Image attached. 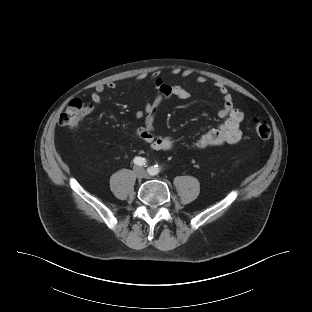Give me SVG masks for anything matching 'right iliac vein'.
Returning a JSON list of instances; mask_svg holds the SVG:
<instances>
[{
	"instance_id": "1",
	"label": "right iliac vein",
	"mask_w": 312,
	"mask_h": 312,
	"mask_svg": "<svg viewBox=\"0 0 312 312\" xmlns=\"http://www.w3.org/2000/svg\"><path fill=\"white\" fill-rule=\"evenodd\" d=\"M135 174H136L137 177H141L142 174H143V170L140 169V168H136L135 169Z\"/></svg>"
}]
</instances>
